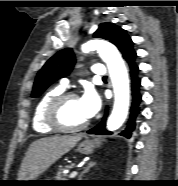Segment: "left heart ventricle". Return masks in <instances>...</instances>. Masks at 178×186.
<instances>
[{"label":"left heart ventricle","mask_w":178,"mask_h":186,"mask_svg":"<svg viewBox=\"0 0 178 186\" xmlns=\"http://www.w3.org/2000/svg\"><path fill=\"white\" fill-rule=\"evenodd\" d=\"M59 118L67 127L78 126L88 120L81 107L79 98L68 100L63 105Z\"/></svg>","instance_id":"1"}]
</instances>
